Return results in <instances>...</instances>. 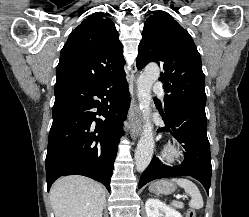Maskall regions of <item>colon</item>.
<instances>
[{"mask_svg":"<svg viewBox=\"0 0 249 217\" xmlns=\"http://www.w3.org/2000/svg\"><path fill=\"white\" fill-rule=\"evenodd\" d=\"M187 217H196L195 211L193 209H189L187 211Z\"/></svg>","mask_w":249,"mask_h":217,"instance_id":"5ec220e1","label":"colon"}]
</instances>
